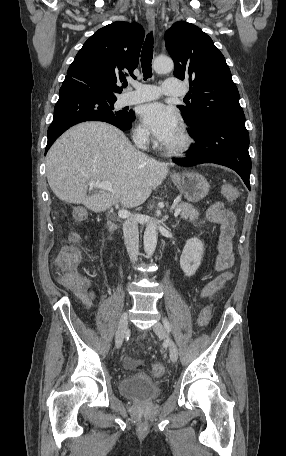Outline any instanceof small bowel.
<instances>
[{"label": "small bowel", "instance_id": "small-bowel-1", "mask_svg": "<svg viewBox=\"0 0 286 456\" xmlns=\"http://www.w3.org/2000/svg\"><path fill=\"white\" fill-rule=\"evenodd\" d=\"M204 223L217 225L220 228V238L217 246L218 254L213 260V269L217 275L201 291V295L204 298H211L233 278L229 268L232 267L235 261L233 251L235 216L223 204L216 203L207 210ZM74 295L87 310L92 309V304L97 299L96 292L92 288L75 291Z\"/></svg>", "mask_w": 286, "mask_h": 456}]
</instances>
